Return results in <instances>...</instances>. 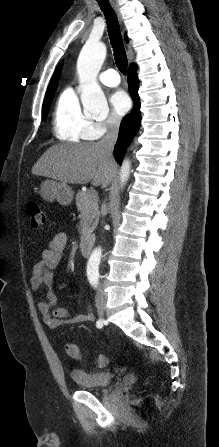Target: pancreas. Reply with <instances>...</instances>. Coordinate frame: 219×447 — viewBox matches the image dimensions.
I'll list each match as a JSON object with an SVG mask.
<instances>
[{"mask_svg":"<svg viewBox=\"0 0 219 447\" xmlns=\"http://www.w3.org/2000/svg\"><path fill=\"white\" fill-rule=\"evenodd\" d=\"M76 206L83 215L81 240H83L88 234L95 229L98 219V198L92 196L91 191L83 192L79 191L76 195Z\"/></svg>","mask_w":219,"mask_h":447,"instance_id":"cf45deb5","label":"pancreas"}]
</instances>
